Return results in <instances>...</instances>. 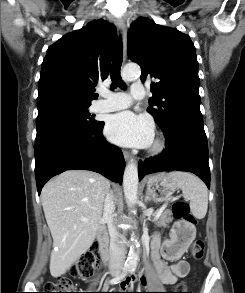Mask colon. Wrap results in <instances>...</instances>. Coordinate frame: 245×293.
<instances>
[{
    "mask_svg": "<svg viewBox=\"0 0 245 293\" xmlns=\"http://www.w3.org/2000/svg\"><path fill=\"white\" fill-rule=\"evenodd\" d=\"M172 213L175 219L179 222L176 229L180 228V223L194 224L195 218L190 213L189 205L183 201H175L172 205ZM175 244V240H173ZM205 243L204 240L198 239L191 246V255L195 260L204 258ZM99 263V255L96 251L82 255L77 262L71 267L70 275L78 279H88ZM76 287L66 276H60L54 281L47 282L42 293H80L75 292ZM117 293V292H116ZM173 293H192L187 292L186 287L181 285L176 292Z\"/></svg>",
    "mask_w": 245,
    "mask_h": 293,
    "instance_id": "5ec220e1",
    "label": "colon"
}]
</instances>
